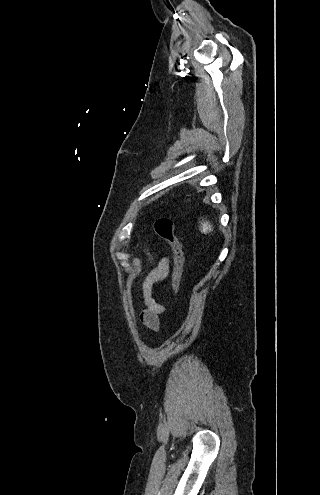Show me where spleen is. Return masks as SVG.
<instances>
[{"label":"spleen","mask_w":320,"mask_h":495,"mask_svg":"<svg viewBox=\"0 0 320 495\" xmlns=\"http://www.w3.org/2000/svg\"><path fill=\"white\" fill-rule=\"evenodd\" d=\"M214 227L208 221H204L200 223V231L203 234H208L213 231Z\"/></svg>","instance_id":"obj_1"}]
</instances>
